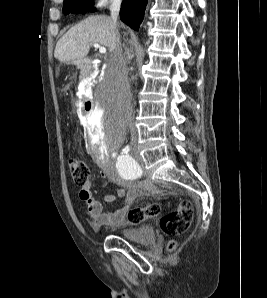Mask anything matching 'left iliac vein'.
<instances>
[{
    "label": "left iliac vein",
    "mask_w": 267,
    "mask_h": 298,
    "mask_svg": "<svg viewBox=\"0 0 267 298\" xmlns=\"http://www.w3.org/2000/svg\"><path fill=\"white\" fill-rule=\"evenodd\" d=\"M134 151L136 152V149H134ZM137 158L140 160V158L137 156Z\"/></svg>",
    "instance_id": "1"
}]
</instances>
